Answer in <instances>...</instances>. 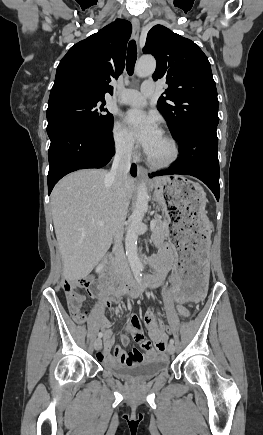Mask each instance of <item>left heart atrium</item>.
<instances>
[{
	"label": "left heart atrium",
	"mask_w": 263,
	"mask_h": 435,
	"mask_svg": "<svg viewBox=\"0 0 263 435\" xmlns=\"http://www.w3.org/2000/svg\"><path fill=\"white\" fill-rule=\"evenodd\" d=\"M124 121L129 135L149 154L162 137L155 117L140 110H131Z\"/></svg>",
	"instance_id": "obj_1"
}]
</instances>
